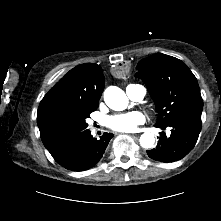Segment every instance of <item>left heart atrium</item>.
<instances>
[{
  "label": "left heart atrium",
  "mask_w": 221,
  "mask_h": 221,
  "mask_svg": "<svg viewBox=\"0 0 221 221\" xmlns=\"http://www.w3.org/2000/svg\"><path fill=\"white\" fill-rule=\"evenodd\" d=\"M145 116L139 111L116 114L107 120L109 128L119 132H133L140 125L144 124Z\"/></svg>",
  "instance_id": "39dd6f15"
}]
</instances>
